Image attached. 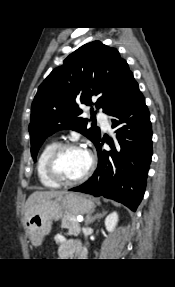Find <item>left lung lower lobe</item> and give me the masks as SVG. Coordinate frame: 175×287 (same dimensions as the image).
I'll return each instance as SVG.
<instances>
[{
  "label": "left lung lower lobe",
  "mask_w": 175,
  "mask_h": 287,
  "mask_svg": "<svg viewBox=\"0 0 175 287\" xmlns=\"http://www.w3.org/2000/svg\"><path fill=\"white\" fill-rule=\"evenodd\" d=\"M116 140L107 141L112 148L96 145L98 167L84 184L72 191L104 196L135 211L140 204L152 158V127L145 98L136 84L127 101L111 115ZM102 142V143H101Z\"/></svg>",
  "instance_id": "0a47b994"
}]
</instances>
